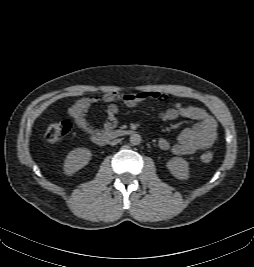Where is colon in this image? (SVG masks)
<instances>
[{
	"label": "colon",
	"instance_id": "1",
	"mask_svg": "<svg viewBox=\"0 0 254 267\" xmlns=\"http://www.w3.org/2000/svg\"><path fill=\"white\" fill-rule=\"evenodd\" d=\"M71 123L67 120L51 123L45 132V138L49 142L60 141L71 130ZM201 161L205 164L210 163L213 160L212 152H205L200 157Z\"/></svg>",
	"mask_w": 254,
	"mask_h": 267
}]
</instances>
